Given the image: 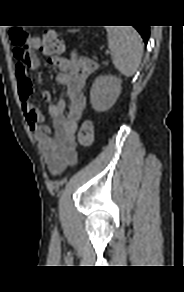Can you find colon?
<instances>
[{
    "label": "colon",
    "mask_w": 184,
    "mask_h": 292,
    "mask_svg": "<svg viewBox=\"0 0 184 292\" xmlns=\"http://www.w3.org/2000/svg\"><path fill=\"white\" fill-rule=\"evenodd\" d=\"M10 40L14 46V56L20 60L27 57L28 34L24 29L13 28L10 30ZM64 43L61 37L52 30L43 32L40 50L44 55L53 56L63 51ZM94 139V127L91 121H84L78 131V142L81 147H89Z\"/></svg>",
    "instance_id": "1"
}]
</instances>
